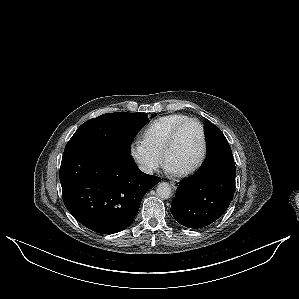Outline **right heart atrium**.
I'll use <instances>...</instances> for the list:
<instances>
[{
  "label": "right heart atrium",
  "mask_w": 299,
  "mask_h": 299,
  "mask_svg": "<svg viewBox=\"0 0 299 299\" xmlns=\"http://www.w3.org/2000/svg\"><path fill=\"white\" fill-rule=\"evenodd\" d=\"M131 155L145 173H152L160 166L159 158L149 151L144 142H135L131 147Z\"/></svg>",
  "instance_id": "1"
}]
</instances>
